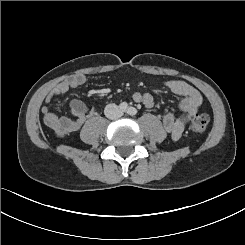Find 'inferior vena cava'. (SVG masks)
<instances>
[{
	"mask_svg": "<svg viewBox=\"0 0 245 245\" xmlns=\"http://www.w3.org/2000/svg\"><path fill=\"white\" fill-rule=\"evenodd\" d=\"M104 114L108 119L114 120L121 116L118 106L114 103L105 106Z\"/></svg>",
	"mask_w": 245,
	"mask_h": 245,
	"instance_id": "602c4592",
	"label": "inferior vena cava"
}]
</instances>
